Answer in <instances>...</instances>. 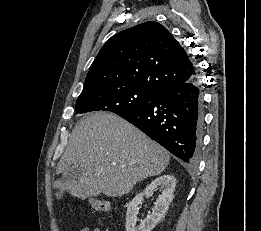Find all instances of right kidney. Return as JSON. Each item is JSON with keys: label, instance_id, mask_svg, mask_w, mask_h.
I'll list each match as a JSON object with an SVG mask.
<instances>
[{"label": "right kidney", "instance_id": "right-kidney-1", "mask_svg": "<svg viewBox=\"0 0 261 231\" xmlns=\"http://www.w3.org/2000/svg\"><path fill=\"white\" fill-rule=\"evenodd\" d=\"M175 185L176 179L174 176L169 174L162 175L152 181L142 193L136 195L127 207L126 231H152L165 216L173 199ZM157 188L162 191V194L157 198L152 214L141 220L139 225H137L139 204L142 203L144 195L151 196Z\"/></svg>", "mask_w": 261, "mask_h": 231}]
</instances>
